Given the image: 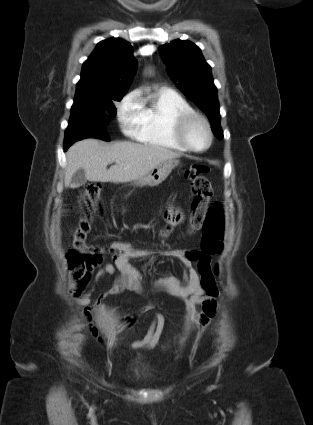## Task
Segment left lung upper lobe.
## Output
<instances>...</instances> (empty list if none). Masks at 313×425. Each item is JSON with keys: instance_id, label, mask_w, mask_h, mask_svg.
I'll list each match as a JSON object with an SVG mask.
<instances>
[{"instance_id": "5c2ea615", "label": "left lung upper lobe", "mask_w": 313, "mask_h": 425, "mask_svg": "<svg viewBox=\"0 0 313 425\" xmlns=\"http://www.w3.org/2000/svg\"><path fill=\"white\" fill-rule=\"evenodd\" d=\"M160 55L171 80L204 111L213 133L222 139L217 88L213 83L211 67L200 48L190 41L177 39L160 46Z\"/></svg>"}]
</instances>
